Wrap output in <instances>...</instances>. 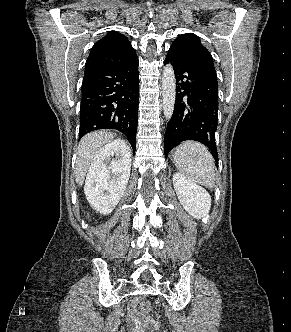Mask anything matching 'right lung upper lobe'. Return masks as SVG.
<instances>
[{"label": "right lung upper lobe", "mask_w": 291, "mask_h": 332, "mask_svg": "<svg viewBox=\"0 0 291 332\" xmlns=\"http://www.w3.org/2000/svg\"><path fill=\"white\" fill-rule=\"evenodd\" d=\"M136 56V52L126 36L116 31H110L92 47L85 64V72L120 65Z\"/></svg>", "instance_id": "1"}]
</instances>
